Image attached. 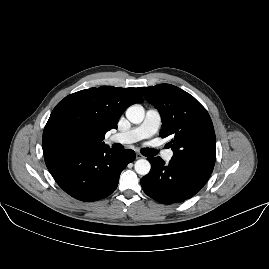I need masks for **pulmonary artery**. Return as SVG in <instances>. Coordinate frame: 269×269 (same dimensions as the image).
Instances as JSON below:
<instances>
[{"label": "pulmonary artery", "mask_w": 269, "mask_h": 269, "mask_svg": "<svg viewBox=\"0 0 269 269\" xmlns=\"http://www.w3.org/2000/svg\"><path fill=\"white\" fill-rule=\"evenodd\" d=\"M160 124V112L157 109L150 108L146 111L143 122L139 126L111 136L109 142L128 145L143 139H149L158 132ZM172 156L173 152L171 150H168L163 154L165 161H169Z\"/></svg>", "instance_id": "pulmonary-artery-1"}]
</instances>
